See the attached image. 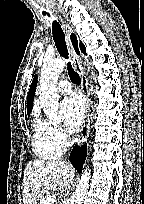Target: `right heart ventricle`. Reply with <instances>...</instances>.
I'll use <instances>...</instances> for the list:
<instances>
[{"label": "right heart ventricle", "mask_w": 144, "mask_h": 204, "mask_svg": "<svg viewBox=\"0 0 144 204\" xmlns=\"http://www.w3.org/2000/svg\"><path fill=\"white\" fill-rule=\"evenodd\" d=\"M33 151L40 159L55 160L62 154L50 138L48 122L41 119L37 114L33 117Z\"/></svg>", "instance_id": "obj_1"}]
</instances>
